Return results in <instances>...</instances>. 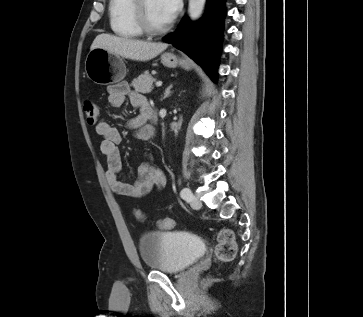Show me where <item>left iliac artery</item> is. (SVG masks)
Here are the masks:
<instances>
[{"instance_id": "left-iliac-artery-1", "label": "left iliac artery", "mask_w": 363, "mask_h": 317, "mask_svg": "<svg viewBox=\"0 0 363 317\" xmlns=\"http://www.w3.org/2000/svg\"><path fill=\"white\" fill-rule=\"evenodd\" d=\"M180 195L183 199L185 200H190L191 196H192V192L189 188H183L180 192Z\"/></svg>"}]
</instances>
